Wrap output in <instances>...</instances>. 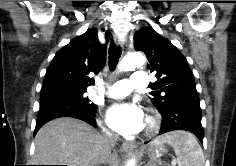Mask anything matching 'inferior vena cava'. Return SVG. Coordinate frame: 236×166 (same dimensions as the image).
Listing matches in <instances>:
<instances>
[{"instance_id": "inferior-vena-cava-1", "label": "inferior vena cava", "mask_w": 236, "mask_h": 166, "mask_svg": "<svg viewBox=\"0 0 236 166\" xmlns=\"http://www.w3.org/2000/svg\"><path fill=\"white\" fill-rule=\"evenodd\" d=\"M117 138V135L112 134L110 132H105L103 134L105 148L109 153H111V149L115 146Z\"/></svg>"}]
</instances>
